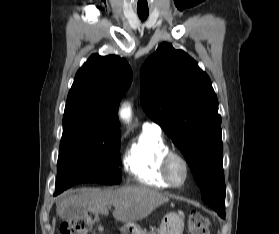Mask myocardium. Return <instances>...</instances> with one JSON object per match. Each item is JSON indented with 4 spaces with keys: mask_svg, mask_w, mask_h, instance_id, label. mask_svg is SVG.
I'll list each match as a JSON object with an SVG mask.
<instances>
[{
    "mask_svg": "<svg viewBox=\"0 0 279 234\" xmlns=\"http://www.w3.org/2000/svg\"><path fill=\"white\" fill-rule=\"evenodd\" d=\"M174 161H178L182 164L184 169V177L180 182H177L173 179L171 174V168ZM161 171L163 178L171 187H181L183 186L190 175V167L187 159L179 152L169 150L162 158L161 162Z\"/></svg>",
    "mask_w": 279,
    "mask_h": 234,
    "instance_id": "1",
    "label": "myocardium"
}]
</instances>
